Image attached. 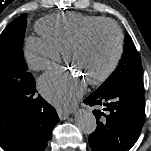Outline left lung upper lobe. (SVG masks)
<instances>
[{"label": "left lung upper lobe", "instance_id": "5c2ea615", "mask_svg": "<svg viewBox=\"0 0 151 151\" xmlns=\"http://www.w3.org/2000/svg\"><path fill=\"white\" fill-rule=\"evenodd\" d=\"M143 69L140 55L129 35L125 36L124 50L116 70L94 91L95 94L113 90L120 83L133 76H142Z\"/></svg>", "mask_w": 151, "mask_h": 151}]
</instances>
